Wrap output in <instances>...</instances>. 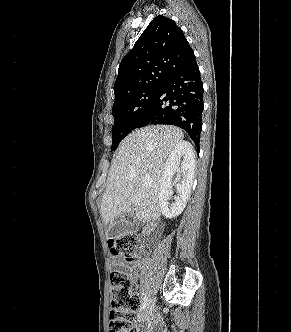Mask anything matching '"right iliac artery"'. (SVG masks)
Instances as JSON below:
<instances>
[{
    "label": "right iliac artery",
    "mask_w": 291,
    "mask_h": 332,
    "mask_svg": "<svg viewBox=\"0 0 291 332\" xmlns=\"http://www.w3.org/2000/svg\"><path fill=\"white\" fill-rule=\"evenodd\" d=\"M148 297L147 295H145L142 299V304H141V308H140V311H142L143 309H145V307L147 306L148 304Z\"/></svg>",
    "instance_id": "1"
}]
</instances>
